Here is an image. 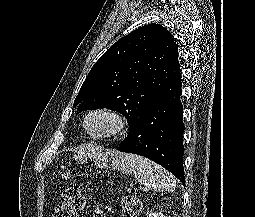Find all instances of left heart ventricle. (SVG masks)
Listing matches in <instances>:
<instances>
[{
  "label": "left heart ventricle",
  "mask_w": 255,
  "mask_h": 217,
  "mask_svg": "<svg viewBox=\"0 0 255 217\" xmlns=\"http://www.w3.org/2000/svg\"><path fill=\"white\" fill-rule=\"evenodd\" d=\"M87 127L94 133L103 132L112 127V120L104 115H94L89 119Z\"/></svg>",
  "instance_id": "left-heart-ventricle-1"
}]
</instances>
